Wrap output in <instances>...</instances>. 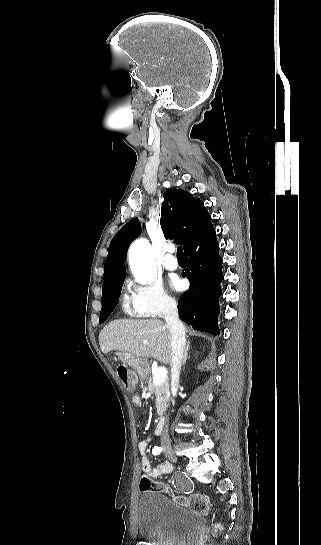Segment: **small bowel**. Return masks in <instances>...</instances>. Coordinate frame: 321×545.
Here are the masks:
<instances>
[{
	"instance_id": "obj_1",
	"label": "small bowel",
	"mask_w": 321,
	"mask_h": 545,
	"mask_svg": "<svg viewBox=\"0 0 321 545\" xmlns=\"http://www.w3.org/2000/svg\"><path fill=\"white\" fill-rule=\"evenodd\" d=\"M134 404L140 406L143 403L142 398L139 395L133 396ZM151 438L144 439L139 442L138 450L140 454L141 469L145 474H148L151 478H156L164 474H168L172 471V466L169 463L161 464L155 468L151 466L150 460L147 456V448Z\"/></svg>"
}]
</instances>
